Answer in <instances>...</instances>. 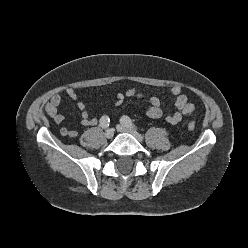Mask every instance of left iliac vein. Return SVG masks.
<instances>
[{"instance_id": "obj_1", "label": "left iliac vein", "mask_w": 248, "mask_h": 248, "mask_svg": "<svg viewBox=\"0 0 248 248\" xmlns=\"http://www.w3.org/2000/svg\"><path fill=\"white\" fill-rule=\"evenodd\" d=\"M117 130L122 133H129L133 135L138 141H143V137L134 129H131L123 124L117 125Z\"/></svg>"}]
</instances>
